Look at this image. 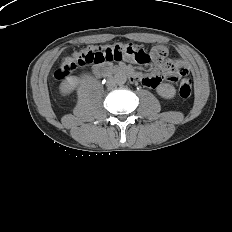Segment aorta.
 Returning <instances> with one entry per match:
<instances>
[{
	"label": "aorta",
	"instance_id": "762f6f07",
	"mask_svg": "<svg viewBox=\"0 0 232 232\" xmlns=\"http://www.w3.org/2000/svg\"><path fill=\"white\" fill-rule=\"evenodd\" d=\"M114 81H115V83L118 84V85H123V84H125L126 81H127V76H126L125 73L119 72V73L115 74V76H114Z\"/></svg>",
	"mask_w": 232,
	"mask_h": 232
}]
</instances>
